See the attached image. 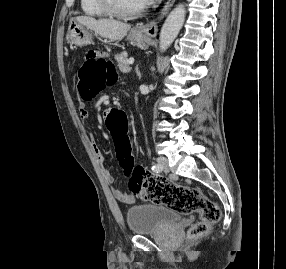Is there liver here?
Here are the masks:
<instances>
[{
    "instance_id": "1",
    "label": "liver",
    "mask_w": 286,
    "mask_h": 269,
    "mask_svg": "<svg viewBox=\"0 0 286 269\" xmlns=\"http://www.w3.org/2000/svg\"><path fill=\"white\" fill-rule=\"evenodd\" d=\"M74 20L93 30L97 35L112 41L122 39L131 28V25L127 23L110 19L97 20L89 16H77Z\"/></svg>"
}]
</instances>
